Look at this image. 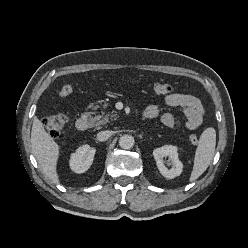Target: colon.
Listing matches in <instances>:
<instances>
[{
	"label": "colon",
	"instance_id": "1",
	"mask_svg": "<svg viewBox=\"0 0 248 248\" xmlns=\"http://www.w3.org/2000/svg\"><path fill=\"white\" fill-rule=\"evenodd\" d=\"M153 90L158 95H168L172 92V86L168 83H156ZM73 93V87L69 84L63 85L59 91L62 98H69ZM67 123V117L64 114H56L49 116L43 120V127L45 131L52 137L58 136ZM190 142L193 145L198 144V137L196 135L190 136Z\"/></svg>",
	"mask_w": 248,
	"mask_h": 248
}]
</instances>
